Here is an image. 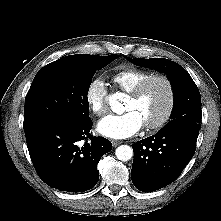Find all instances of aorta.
Instances as JSON below:
<instances>
[{"label":"aorta","instance_id":"aorta-1","mask_svg":"<svg viewBox=\"0 0 221 221\" xmlns=\"http://www.w3.org/2000/svg\"><path fill=\"white\" fill-rule=\"evenodd\" d=\"M120 94H113L109 97V105L114 112H118L122 108L120 103ZM117 159L121 161H128L133 156V149L128 145H121L115 150Z\"/></svg>","mask_w":221,"mask_h":221}]
</instances>
